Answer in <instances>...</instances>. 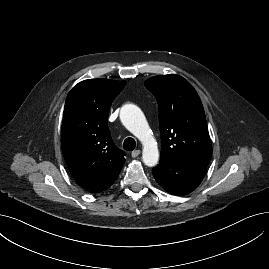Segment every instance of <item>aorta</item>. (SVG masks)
<instances>
[{
    "label": "aorta",
    "instance_id": "aorta-1",
    "mask_svg": "<svg viewBox=\"0 0 269 269\" xmlns=\"http://www.w3.org/2000/svg\"><path fill=\"white\" fill-rule=\"evenodd\" d=\"M122 124L136 136L143 145L142 159L146 166L154 167L159 161V151L155 138L152 136L147 120L141 109L127 104L121 108Z\"/></svg>",
    "mask_w": 269,
    "mask_h": 269
}]
</instances>
